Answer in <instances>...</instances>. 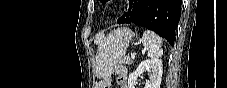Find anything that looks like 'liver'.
<instances>
[{
	"instance_id": "1",
	"label": "liver",
	"mask_w": 227,
	"mask_h": 88,
	"mask_svg": "<svg viewBox=\"0 0 227 88\" xmlns=\"http://www.w3.org/2000/svg\"><path fill=\"white\" fill-rule=\"evenodd\" d=\"M96 43H99V40H96Z\"/></svg>"
}]
</instances>
